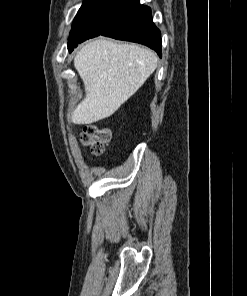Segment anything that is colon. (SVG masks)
Listing matches in <instances>:
<instances>
[{"instance_id": "colon-1", "label": "colon", "mask_w": 247, "mask_h": 296, "mask_svg": "<svg viewBox=\"0 0 247 296\" xmlns=\"http://www.w3.org/2000/svg\"><path fill=\"white\" fill-rule=\"evenodd\" d=\"M82 143L89 147L92 155L99 156L110 140V133L106 129H99L94 125H86L81 133Z\"/></svg>"}]
</instances>
